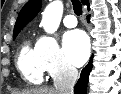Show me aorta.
Masks as SVG:
<instances>
[{
	"instance_id": "obj_1",
	"label": "aorta",
	"mask_w": 121,
	"mask_h": 94,
	"mask_svg": "<svg viewBox=\"0 0 121 94\" xmlns=\"http://www.w3.org/2000/svg\"><path fill=\"white\" fill-rule=\"evenodd\" d=\"M63 14V3L61 0H54L47 5L42 13L41 25L45 32L53 34L58 29Z\"/></svg>"
}]
</instances>
